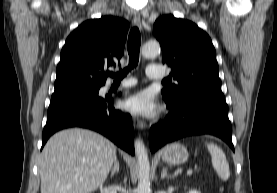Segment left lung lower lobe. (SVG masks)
<instances>
[{
	"mask_svg": "<svg viewBox=\"0 0 277 193\" xmlns=\"http://www.w3.org/2000/svg\"><path fill=\"white\" fill-rule=\"evenodd\" d=\"M167 103V102H166ZM170 113L150 129V150L190 135L211 134L224 140L234 151L228 105L221 88H200L176 103H167Z\"/></svg>",
	"mask_w": 277,
	"mask_h": 193,
	"instance_id": "obj_1",
	"label": "left lung lower lobe"
}]
</instances>
